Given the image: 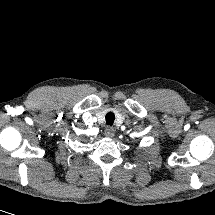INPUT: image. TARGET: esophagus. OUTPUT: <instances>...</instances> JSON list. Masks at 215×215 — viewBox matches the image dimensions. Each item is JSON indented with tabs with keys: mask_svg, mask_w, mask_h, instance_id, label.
I'll return each instance as SVG.
<instances>
[{
	"mask_svg": "<svg viewBox=\"0 0 215 215\" xmlns=\"http://www.w3.org/2000/svg\"><path fill=\"white\" fill-rule=\"evenodd\" d=\"M104 134H105L106 137L111 138V137L114 136L115 130H114V128H112V127H107V128L105 129Z\"/></svg>",
	"mask_w": 215,
	"mask_h": 215,
	"instance_id": "obj_1",
	"label": "esophagus"
}]
</instances>
